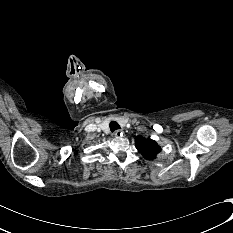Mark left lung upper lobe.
Returning a JSON list of instances; mask_svg holds the SVG:
<instances>
[{"mask_svg":"<svg viewBox=\"0 0 233 233\" xmlns=\"http://www.w3.org/2000/svg\"><path fill=\"white\" fill-rule=\"evenodd\" d=\"M136 148L147 160H153L156 155L161 151L160 146L152 139L138 138L136 140Z\"/></svg>","mask_w":233,"mask_h":233,"instance_id":"5c2ea615","label":"left lung upper lobe"}]
</instances>
